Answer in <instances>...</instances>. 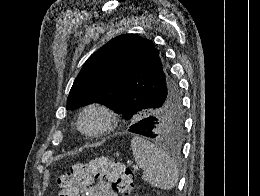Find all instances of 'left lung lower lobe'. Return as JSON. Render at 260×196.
I'll use <instances>...</instances> for the list:
<instances>
[{"instance_id": "left-lung-lower-lobe-1", "label": "left lung lower lobe", "mask_w": 260, "mask_h": 196, "mask_svg": "<svg viewBox=\"0 0 260 196\" xmlns=\"http://www.w3.org/2000/svg\"><path fill=\"white\" fill-rule=\"evenodd\" d=\"M131 114L132 112L126 113L124 118H128L129 116H131ZM154 129H155V121L153 119L146 118L138 121L137 123L132 124L130 126L129 131L149 138H154L155 137Z\"/></svg>"}]
</instances>
